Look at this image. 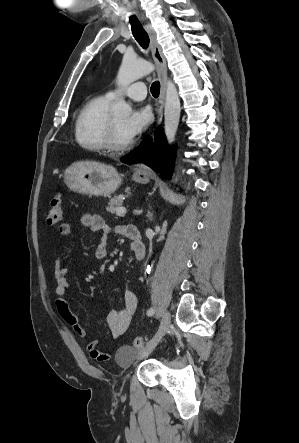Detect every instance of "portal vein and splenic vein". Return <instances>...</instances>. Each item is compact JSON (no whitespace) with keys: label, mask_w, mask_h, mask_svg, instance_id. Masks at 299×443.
Segmentation results:
<instances>
[{"label":"portal vein and splenic vein","mask_w":299,"mask_h":443,"mask_svg":"<svg viewBox=\"0 0 299 443\" xmlns=\"http://www.w3.org/2000/svg\"><path fill=\"white\" fill-rule=\"evenodd\" d=\"M126 208L125 207H120V208H118L117 209V211H116V215L117 216H124L125 214H126ZM135 213H138V214H140L141 213V211H135Z\"/></svg>","instance_id":"1"}]
</instances>
